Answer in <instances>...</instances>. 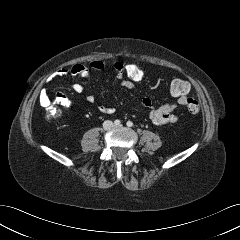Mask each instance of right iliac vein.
I'll return each mask as SVG.
<instances>
[{
    "label": "right iliac vein",
    "mask_w": 240,
    "mask_h": 240,
    "mask_svg": "<svg viewBox=\"0 0 240 240\" xmlns=\"http://www.w3.org/2000/svg\"><path fill=\"white\" fill-rule=\"evenodd\" d=\"M112 127H113V124L109 121L104 124L105 129H111Z\"/></svg>",
    "instance_id": "right-iliac-vein-1"
}]
</instances>
